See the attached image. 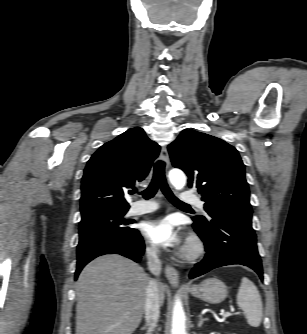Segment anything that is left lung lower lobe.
Masks as SVG:
<instances>
[{
  "label": "left lung lower lobe",
  "mask_w": 307,
  "mask_h": 334,
  "mask_svg": "<svg viewBox=\"0 0 307 334\" xmlns=\"http://www.w3.org/2000/svg\"><path fill=\"white\" fill-rule=\"evenodd\" d=\"M195 232L205 245L206 256L190 272V279L225 265L240 264L255 270L263 280L256 235L250 218L231 214L214 216L208 224L194 221Z\"/></svg>",
  "instance_id": "1"
}]
</instances>
